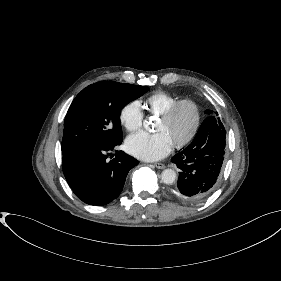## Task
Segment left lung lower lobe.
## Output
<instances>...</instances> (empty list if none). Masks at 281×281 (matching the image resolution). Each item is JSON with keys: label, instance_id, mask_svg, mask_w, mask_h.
<instances>
[{"label": "left lung lower lobe", "instance_id": "left-lung-lower-lobe-1", "mask_svg": "<svg viewBox=\"0 0 281 281\" xmlns=\"http://www.w3.org/2000/svg\"><path fill=\"white\" fill-rule=\"evenodd\" d=\"M225 135L219 120L209 116L192 143L171 158L180 169L174 193L184 202H201L214 191L224 160Z\"/></svg>", "mask_w": 281, "mask_h": 281}]
</instances>
